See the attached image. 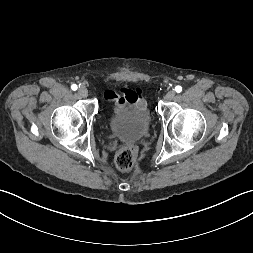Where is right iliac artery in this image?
<instances>
[{
	"instance_id": "82829eb1",
	"label": "right iliac artery",
	"mask_w": 253,
	"mask_h": 253,
	"mask_svg": "<svg viewBox=\"0 0 253 253\" xmlns=\"http://www.w3.org/2000/svg\"><path fill=\"white\" fill-rule=\"evenodd\" d=\"M77 88H78V87H77V85H76V84H73V85L71 86V89H72V90H74V91H76V90H77Z\"/></svg>"
}]
</instances>
